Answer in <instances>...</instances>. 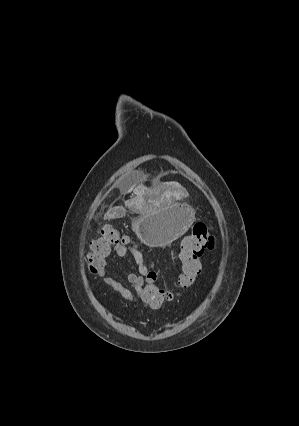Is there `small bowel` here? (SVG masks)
Segmentation results:
<instances>
[{
    "label": "small bowel",
    "instance_id": "1",
    "mask_svg": "<svg viewBox=\"0 0 299 426\" xmlns=\"http://www.w3.org/2000/svg\"><path fill=\"white\" fill-rule=\"evenodd\" d=\"M113 253L118 257H124L131 254L138 265L137 272H128L124 283L116 280L112 275L111 261L106 260L105 265L99 270L98 274L102 282L113 290L118 292L124 299L132 303H143V287L147 280L149 268L144 264L142 253L134 245H117L113 248Z\"/></svg>",
    "mask_w": 299,
    "mask_h": 426
}]
</instances>
